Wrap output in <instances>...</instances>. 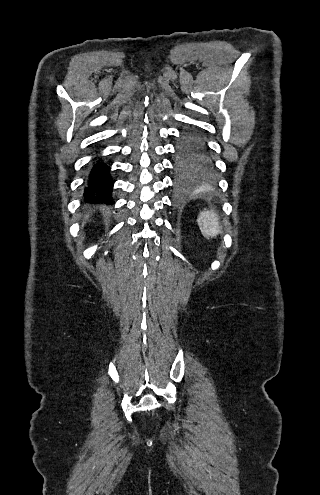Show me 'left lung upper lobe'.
Masks as SVG:
<instances>
[{
  "label": "left lung upper lobe",
  "mask_w": 320,
  "mask_h": 495,
  "mask_svg": "<svg viewBox=\"0 0 320 495\" xmlns=\"http://www.w3.org/2000/svg\"><path fill=\"white\" fill-rule=\"evenodd\" d=\"M175 164L181 174L207 171L212 167L201 151L197 135L190 132L183 133Z\"/></svg>",
  "instance_id": "left-lung-upper-lobe-1"
}]
</instances>
